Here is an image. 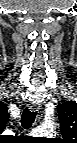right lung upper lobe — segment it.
<instances>
[{"mask_svg":"<svg viewBox=\"0 0 77 143\" xmlns=\"http://www.w3.org/2000/svg\"><path fill=\"white\" fill-rule=\"evenodd\" d=\"M7 110H8V108L5 105L0 104V127H1V129L5 128V125L9 118V114H8Z\"/></svg>","mask_w":77,"mask_h":143,"instance_id":"1","label":"right lung upper lobe"}]
</instances>
